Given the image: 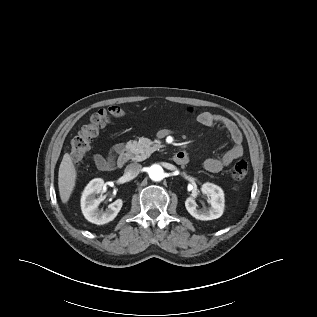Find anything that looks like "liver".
I'll list each match as a JSON object with an SVG mask.
<instances>
[{"instance_id":"obj_1","label":"liver","mask_w":317,"mask_h":317,"mask_svg":"<svg viewBox=\"0 0 317 317\" xmlns=\"http://www.w3.org/2000/svg\"><path fill=\"white\" fill-rule=\"evenodd\" d=\"M76 170L71 156L66 153L63 156L58 172V187L61 201L67 203L75 186Z\"/></svg>"}]
</instances>
